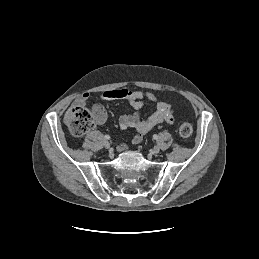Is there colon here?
Masks as SVG:
<instances>
[{
  "instance_id": "1",
  "label": "colon",
  "mask_w": 259,
  "mask_h": 259,
  "mask_svg": "<svg viewBox=\"0 0 259 259\" xmlns=\"http://www.w3.org/2000/svg\"><path fill=\"white\" fill-rule=\"evenodd\" d=\"M64 122L74 136H82L93 128L94 117L84 105L74 104L65 113ZM192 133L193 127L190 123L180 124L179 134L181 137L188 138Z\"/></svg>"
}]
</instances>
